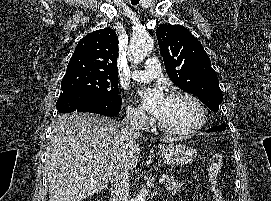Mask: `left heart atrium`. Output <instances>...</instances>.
I'll list each match as a JSON object with an SVG mask.
<instances>
[{
  "label": "left heart atrium",
  "instance_id": "left-heart-atrium-1",
  "mask_svg": "<svg viewBox=\"0 0 271 201\" xmlns=\"http://www.w3.org/2000/svg\"><path fill=\"white\" fill-rule=\"evenodd\" d=\"M138 97L142 107L159 119L163 115L166 97L159 87H144L138 90Z\"/></svg>",
  "mask_w": 271,
  "mask_h": 201
}]
</instances>
